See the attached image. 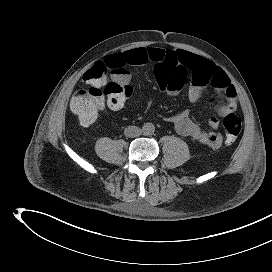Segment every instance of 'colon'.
Returning <instances> with one entry per match:
<instances>
[{
  "instance_id": "1",
  "label": "colon",
  "mask_w": 272,
  "mask_h": 272,
  "mask_svg": "<svg viewBox=\"0 0 272 272\" xmlns=\"http://www.w3.org/2000/svg\"><path fill=\"white\" fill-rule=\"evenodd\" d=\"M124 67L110 68L101 63L93 65L85 74L87 87L77 90L71 99L70 108L73 114L84 125H92L104 108L105 103L112 109H120L131 96L132 87L123 76ZM226 143L236 141L242 129L240 118L234 114L227 115L223 120Z\"/></svg>"
}]
</instances>
